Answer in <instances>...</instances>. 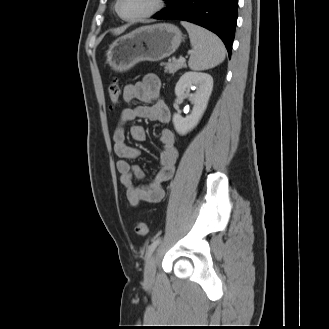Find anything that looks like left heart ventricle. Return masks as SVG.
Masks as SVG:
<instances>
[{
    "label": "left heart ventricle",
    "mask_w": 329,
    "mask_h": 329,
    "mask_svg": "<svg viewBox=\"0 0 329 329\" xmlns=\"http://www.w3.org/2000/svg\"><path fill=\"white\" fill-rule=\"evenodd\" d=\"M154 0H121L119 11L125 17H132L148 11Z\"/></svg>",
    "instance_id": "b2bd125f"
}]
</instances>
